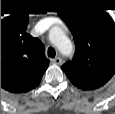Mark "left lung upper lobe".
<instances>
[{"instance_id":"1","label":"left lung upper lobe","mask_w":115,"mask_h":114,"mask_svg":"<svg viewBox=\"0 0 115 114\" xmlns=\"http://www.w3.org/2000/svg\"><path fill=\"white\" fill-rule=\"evenodd\" d=\"M72 32L76 51L61 68L78 88L93 90L115 74V23L97 9H79L60 14Z\"/></svg>"}]
</instances>
